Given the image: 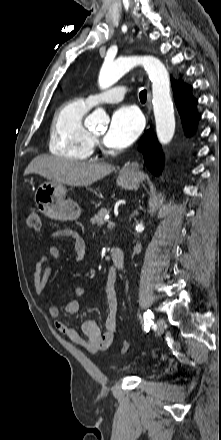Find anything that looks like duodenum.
<instances>
[{"mask_svg": "<svg viewBox=\"0 0 221 440\" xmlns=\"http://www.w3.org/2000/svg\"><path fill=\"white\" fill-rule=\"evenodd\" d=\"M111 255L113 261L112 271L115 272L121 270L125 263V256L123 250L120 247H114L111 250Z\"/></svg>", "mask_w": 221, "mask_h": 440, "instance_id": "obj_1", "label": "duodenum"}]
</instances>
